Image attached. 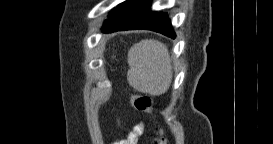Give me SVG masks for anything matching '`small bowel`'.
Here are the masks:
<instances>
[{
  "mask_svg": "<svg viewBox=\"0 0 273 144\" xmlns=\"http://www.w3.org/2000/svg\"><path fill=\"white\" fill-rule=\"evenodd\" d=\"M144 132V123L137 124L130 134L128 135V138L123 142V144H136L138 138L143 134Z\"/></svg>",
  "mask_w": 273,
  "mask_h": 144,
  "instance_id": "obj_1",
  "label": "small bowel"
}]
</instances>
